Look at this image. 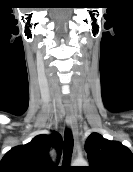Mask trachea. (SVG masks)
Wrapping results in <instances>:
<instances>
[{
  "label": "trachea",
  "instance_id": "obj_1",
  "mask_svg": "<svg viewBox=\"0 0 133 172\" xmlns=\"http://www.w3.org/2000/svg\"><path fill=\"white\" fill-rule=\"evenodd\" d=\"M72 150H73V136L71 131L67 129L64 135V153H63L64 165H69L71 161Z\"/></svg>",
  "mask_w": 133,
  "mask_h": 172
}]
</instances>
